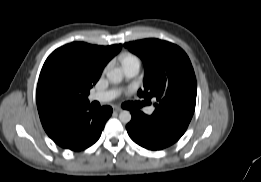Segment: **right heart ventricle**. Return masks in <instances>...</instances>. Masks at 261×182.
Wrapping results in <instances>:
<instances>
[{
  "label": "right heart ventricle",
  "instance_id": "1",
  "mask_svg": "<svg viewBox=\"0 0 261 182\" xmlns=\"http://www.w3.org/2000/svg\"><path fill=\"white\" fill-rule=\"evenodd\" d=\"M121 63L122 66H126L128 64H132V63H139L140 64V60L137 56L130 54V53H126L123 54L121 57Z\"/></svg>",
  "mask_w": 261,
  "mask_h": 182
}]
</instances>
